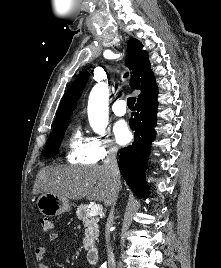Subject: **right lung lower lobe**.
I'll return each instance as SVG.
<instances>
[{"label": "right lung lower lobe", "instance_id": "obj_1", "mask_svg": "<svg viewBox=\"0 0 221 268\" xmlns=\"http://www.w3.org/2000/svg\"><path fill=\"white\" fill-rule=\"evenodd\" d=\"M157 93L136 104V113L132 114L130 127L134 131V142L123 148L119 156V169L128 186L144 199L149 194L145 181V171L151 143L155 138L157 113Z\"/></svg>", "mask_w": 221, "mask_h": 268}]
</instances>
